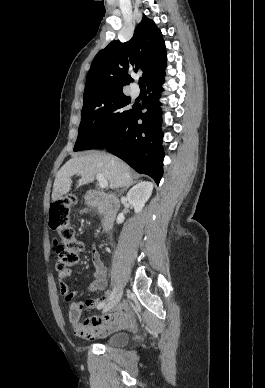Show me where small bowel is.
Masks as SVG:
<instances>
[{
  "mask_svg": "<svg viewBox=\"0 0 265 388\" xmlns=\"http://www.w3.org/2000/svg\"><path fill=\"white\" fill-rule=\"evenodd\" d=\"M91 259L94 267L93 281L82 291V293H94L104 291L107 287V271L101 259L98 245L95 243L91 250ZM72 275V270L66 268L59 272V289L60 293L65 297L68 305V319L73 332L76 336L82 339H95L115 329L125 327L130 322V315L124 303L118 304L114 310L106 317L93 316L84 322L80 321L81 313L84 307L89 309H98V306L105 304L110 295L106 291L99 299H91L86 302H74L73 299L79 292L69 291L66 280ZM60 325L63 324L61 320Z\"/></svg>",
  "mask_w": 265,
  "mask_h": 388,
  "instance_id": "1",
  "label": "small bowel"
}]
</instances>
